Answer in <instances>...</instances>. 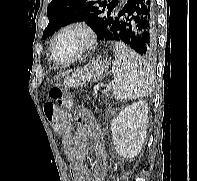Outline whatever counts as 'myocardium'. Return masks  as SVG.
<instances>
[{
  "label": "myocardium",
  "instance_id": "f54148a6",
  "mask_svg": "<svg viewBox=\"0 0 197 181\" xmlns=\"http://www.w3.org/2000/svg\"><path fill=\"white\" fill-rule=\"evenodd\" d=\"M70 30H78V31L82 32L85 37L84 43L81 46V48L69 59L58 60L56 58V54H55L56 44H57L59 38L64 33H66L67 31H70ZM95 43H96V33L90 25H88L85 22L70 23V24L64 26L62 29H60V31L55 36V38L52 42L51 59L57 64H69V63L79 59L80 57L84 56L88 52H90L93 49Z\"/></svg>",
  "mask_w": 197,
  "mask_h": 181
}]
</instances>
